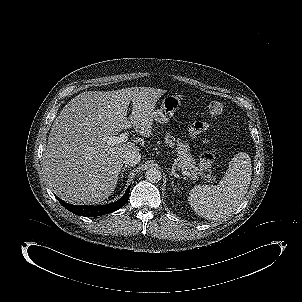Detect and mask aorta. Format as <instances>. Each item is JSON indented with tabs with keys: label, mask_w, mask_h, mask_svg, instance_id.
Returning <instances> with one entry per match:
<instances>
[{
	"label": "aorta",
	"mask_w": 302,
	"mask_h": 302,
	"mask_svg": "<svg viewBox=\"0 0 302 302\" xmlns=\"http://www.w3.org/2000/svg\"><path fill=\"white\" fill-rule=\"evenodd\" d=\"M146 179L151 183H157L162 178V173L157 167L147 169L145 173Z\"/></svg>",
	"instance_id": "762f6f07"
}]
</instances>
